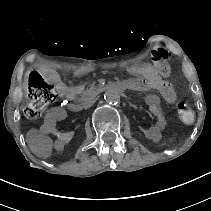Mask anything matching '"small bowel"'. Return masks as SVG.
Listing matches in <instances>:
<instances>
[{
  "mask_svg": "<svg viewBox=\"0 0 211 211\" xmlns=\"http://www.w3.org/2000/svg\"><path fill=\"white\" fill-rule=\"evenodd\" d=\"M49 80L55 84L56 90L61 98L72 99L80 91V86H68L65 84L61 77L55 72H46ZM138 83V89L140 91L156 90L159 95L151 94L146 97V103L149 106L150 112L154 118V122L142 129L145 136L149 139H158L161 131L166 126V118L160 107L161 98L166 102L172 103L176 99V93L173 87L163 80L159 75L152 70H146L134 79ZM58 112H50L41 127V131L45 134L53 135L55 140V146L62 148L70 140V134L68 132L61 131L57 126Z\"/></svg>",
  "mask_w": 211,
  "mask_h": 211,
  "instance_id": "small-bowel-1",
  "label": "small bowel"
}]
</instances>
